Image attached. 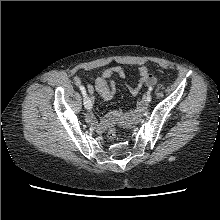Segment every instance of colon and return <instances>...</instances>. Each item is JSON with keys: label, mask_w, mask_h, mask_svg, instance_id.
Here are the masks:
<instances>
[{"label": "colon", "mask_w": 220, "mask_h": 220, "mask_svg": "<svg viewBox=\"0 0 220 220\" xmlns=\"http://www.w3.org/2000/svg\"><path fill=\"white\" fill-rule=\"evenodd\" d=\"M117 136V133H116V128L114 125H110L108 130H107V137L110 139V140H114Z\"/></svg>", "instance_id": "1"}]
</instances>
